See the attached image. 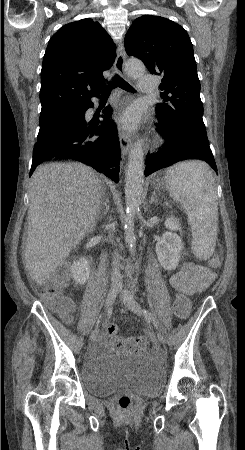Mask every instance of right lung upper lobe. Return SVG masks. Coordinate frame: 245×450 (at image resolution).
I'll return each instance as SVG.
<instances>
[{"instance_id": "right-lung-upper-lobe-1", "label": "right lung upper lobe", "mask_w": 245, "mask_h": 450, "mask_svg": "<svg viewBox=\"0 0 245 450\" xmlns=\"http://www.w3.org/2000/svg\"><path fill=\"white\" fill-rule=\"evenodd\" d=\"M115 44L98 22L64 25L49 40L41 70L42 111L78 107L98 95L102 72L115 60Z\"/></svg>"}]
</instances>
